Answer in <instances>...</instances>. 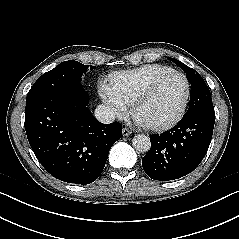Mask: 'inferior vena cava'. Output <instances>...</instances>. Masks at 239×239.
I'll return each mask as SVG.
<instances>
[{"instance_id": "1", "label": "inferior vena cava", "mask_w": 239, "mask_h": 239, "mask_svg": "<svg viewBox=\"0 0 239 239\" xmlns=\"http://www.w3.org/2000/svg\"><path fill=\"white\" fill-rule=\"evenodd\" d=\"M94 115L99 122L104 124L112 123L116 118L114 111L105 105L97 106Z\"/></svg>"}]
</instances>
